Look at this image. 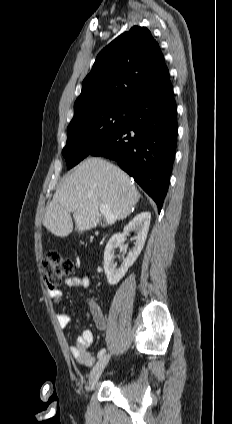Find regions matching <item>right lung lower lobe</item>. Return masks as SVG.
I'll use <instances>...</instances> for the list:
<instances>
[{
	"label": "right lung lower lobe",
	"instance_id": "1",
	"mask_svg": "<svg viewBox=\"0 0 232 424\" xmlns=\"http://www.w3.org/2000/svg\"><path fill=\"white\" fill-rule=\"evenodd\" d=\"M177 142V110L169 74L131 106L128 122L89 155L116 160L160 212Z\"/></svg>",
	"mask_w": 232,
	"mask_h": 424
}]
</instances>
